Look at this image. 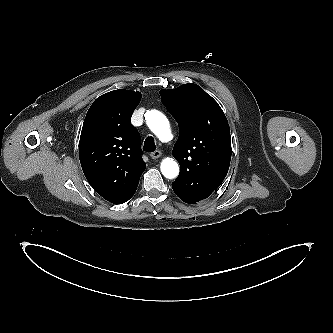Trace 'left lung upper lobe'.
Listing matches in <instances>:
<instances>
[{"label": "left lung upper lobe", "mask_w": 333, "mask_h": 333, "mask_svg": "<svg viewBox=\"0 0 333 333\" xmlns=\"http://www.w3.org/2000/svg\"><path fill=\"white\" fill-rule=\"evenodd\" d=\"M160 95L180 131L172 153L181 171L173 190L201 201L217 190L227 175L231 160L228 121L218 103L196 84L161 90Z\"/></svg>", "instance_id": "1"}]
</instances>
